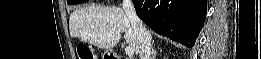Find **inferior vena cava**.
I'll list each match as a JSON object with an SVG mask.
<instances>
[{"label":"inferior vena cava","instance_id":"602c4592","mask_svg":"<svg viewBox=\"0 0 261 59\" xmlns=\"http://www.w3.org/2000/svg\"><path fill=\"white\" fill-rule=\"evenodd\" d=\"M122 5L126 16L137 36L140 59H151V34L137 16L133 1L123 0Z\"/></svg>","mask_w":261,"mask_h":59}]
</instances>
